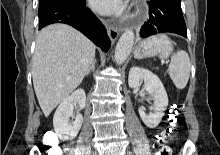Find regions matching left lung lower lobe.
<instances>
[{"label":"left lung lower lobe","mask_w":220,"mask_h":155,"mask_svg":"<svg viewBox=\"0 0 220 155\" xmlns=\"http://www.w3.org/2000/svg\"><path fill=\"white\" fill-rule=\"evenodd\" d=\"M147 3L149 20L141 28V37L164 32L187 36L180 0H149Z\"/></svg>","instance_id":"0a47b994"}]
</instances>
